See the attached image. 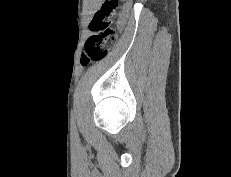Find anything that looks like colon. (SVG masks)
Masks as SVG:
<instances>
[{
    "label": "colon",
    "instance_id": "obj_1",
    "mask_svg": "<svg viewBox=\"0 0 231 177\" xmlns=\"http://www.w3.org/2000/svg\"><path fill=\"white\" fill-rule=\"evenodd\" d=\"M120 1L104 0L90 21L89 28L92 34L87 39L81 56V64L83 66L104 59L114 46L117 39L114 17L118 13Z\"/></svg>",
    "mask_w": 231,
    "mask_h": 177
}]
</instances>
